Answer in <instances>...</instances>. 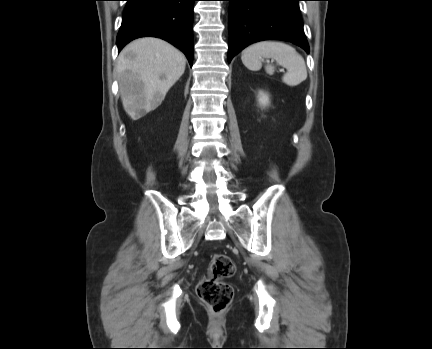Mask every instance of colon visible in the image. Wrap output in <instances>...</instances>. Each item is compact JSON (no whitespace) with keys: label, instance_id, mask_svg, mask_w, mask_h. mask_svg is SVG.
<instances>
[{"label":"colon","instance_id":"1","mask_svg":"<svg viewBox=\"0 0 432 349\" xmlns=\"http://www.w3.org/2000/svg\"><path fill=\"white\" fill-rule=\"evenodd\" d=\"M235 269V263L229 256L215 254L207 277L197 287L199 298L215 313L223 312L232 302L234 291L225 280L235 273Z\"/></svg>","mask_w":432,"mask_h":349}]
</instances>
